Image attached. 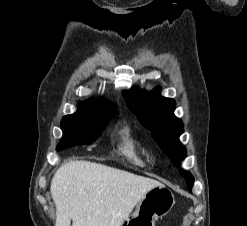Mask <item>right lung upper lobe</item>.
I'll return each instance as SVG.
<instances>
[{
    "instance_id": "1",
    "label": "right lung upper lobe",
    "mask_w": 247,
    "mask_h": 226,
    "mask_svg": "<svg viewBox=\"0 0 247 226\" xmlns=\"http://www.w3.org/2000/svg\"><path fill=\"white\" fill-rule=\"evenodd\" d=\"M87 101L92 102L96 108V114L98 117H111L114 112L115 105L110 104L108 100L105 99H89Z\"/></svg>"
}]
</instances>
